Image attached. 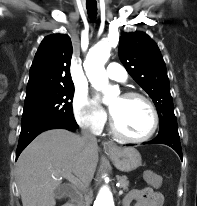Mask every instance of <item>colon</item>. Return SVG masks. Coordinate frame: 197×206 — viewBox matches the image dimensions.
<instances>
[{"label": "colon", "instance_id": "colon-1", "mask_svg": "<svg viewBox=\"0 0 197 206\" xmlns=\"http://www.w3.org/2000/svg\"><path fill=\"white\" fill-rule=\"evenodd\" d=\"M150 180L155 184L158 185L160 183V177L156 174L151 175Z\"/></svg>", "mask_w": 197, "mask_h": 206}]
</instances>
